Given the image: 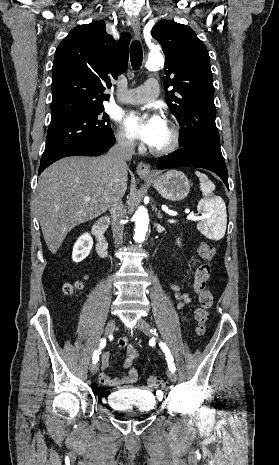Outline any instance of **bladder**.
<instances>
[{"mask_svg": "<svg viewBox=\"0 0 279 465\" xmlns=\"http://www.w3.org/2000/svg\"><path fill=\"white\" fill-rule=\"evenodd\" d=\"M108 405L120 412L149 413L156 409L157 399L150 391L120 389L108 394Z\"/></svg>", "mask_w": 279, "mask_h": 465, "instance_id": "obj_1", "label": "bladder"}]
</instances>
